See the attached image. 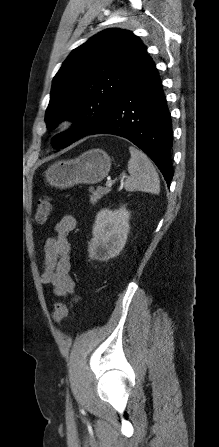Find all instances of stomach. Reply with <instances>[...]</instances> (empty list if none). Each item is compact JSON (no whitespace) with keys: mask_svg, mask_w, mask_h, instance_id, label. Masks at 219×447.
<instances>
[{"mask_svg":"<svg viewBox=\"0 0 219 447\" xmlns=\"http://www.w3.org/2000/svg\"><path fill=\"white\" fill-rule=\"evenodd\" d=\"M111 159L101 149H91L71 160L57 161L45 171L46 181L65 189L77 184H95L109 173Z\"/></svg>","mask_w":219,"mask_h":447,"instance_id":"1","label":"stomach"}]
</instances>
